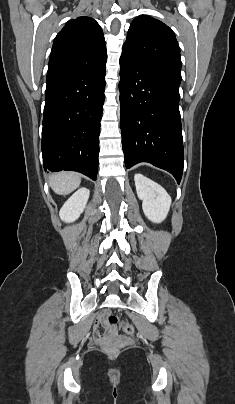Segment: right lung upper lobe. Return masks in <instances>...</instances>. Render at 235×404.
<instances>
[{
  "instance_id": "right-lung-upper-lobe-1",
  "label": "right lung upper lobe",
  "mask_w": 235,
  "mask_h": 404,
  "mask_svg": "<svg viewBox=\"0 0 235 404\" xmlns=\"http://www.w3.org/2000/svg\"><path fill=\"white\" fill-rule=\"evenodd\" d=\"M106 59V43L99 24L93 18L78 17L68 21L56 36L48 74L98 65Z\"/></svg>"
}]
</instances>
